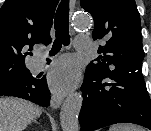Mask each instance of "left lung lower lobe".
Masks as SVG:
<instances>
[{"mask_svg":"<svg viewBox=\"0 0 151 131\" xmlns=\"http://www.w3.org/2000/svg\"><path fill=\"white\" fill-rule=\"evenodd\" d=\"M80 131L116 123H135L151 130V102L141 67L108 77L85 72Z\"/></svg>","mask_w":151,"mask_h":131,"instance_id":"1","label":"left lung lower lobe"}]
</instances>
